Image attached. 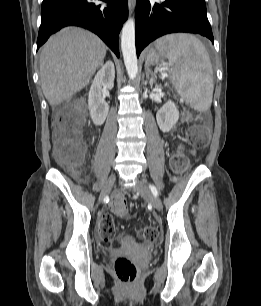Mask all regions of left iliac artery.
Masks as SVG:
<instances>
[{"instance_id": "1", "label": "left iliac artery", "mask_w": 261, "mask_h": 306, "mask_svg": "<svg viewBox=\"0 0 261 306\" xmlns=\"http://www.w3.org/2000/svg\"><path fill=\"white\" fill-rule=\"evenodd\" d=\"M149 187H150L152 193H153L155 196H157V195H158V190H157V188H156L154 185H149Z\"/></svg>"}]
</instances>
